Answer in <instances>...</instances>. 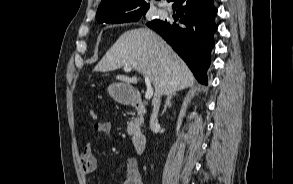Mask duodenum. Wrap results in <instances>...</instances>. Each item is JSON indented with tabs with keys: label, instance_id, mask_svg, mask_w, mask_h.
<instances>
[{
	"label": "duodenum",
	"instance_id": "1",
	"mask_svg": "<svg viewBox=\"0 0 293 184\" xmlns=\"http://www.w3.org/2000/svg\"><path fill=\"white\" fill-rule=\"evenodd\" d=\"M130 103L137 109L140 114L146 111L145 102L140 94H134L130 97ZM147 138L143 132H136L132 137L133 148L136 153L141 154L146 146Z\"/></svg>",
	"mask_w": 293,
	"mask_h": 184
}]
</instances>
